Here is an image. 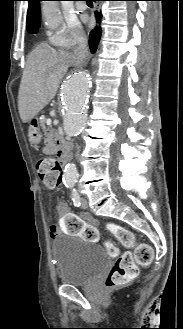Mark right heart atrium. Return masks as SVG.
<instances>
[{
	"mask_svg": "<svg viewBox=\"0 0 183 329\" xmlns=\"http://www.w3.org/2000/svg\"><path fill=\"white\" fill-rule=\"evenodd\" d=\"M84 38L81 25L78 22H71L61 27L54 33L49 34V40L56 46L67 48Z\"/></svg>",
	"mask_w": 183,
	"mask_h": 329,
	"instance_id": "obj_1",
	"label": "right heart atrium"
}]
</instances>
